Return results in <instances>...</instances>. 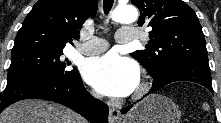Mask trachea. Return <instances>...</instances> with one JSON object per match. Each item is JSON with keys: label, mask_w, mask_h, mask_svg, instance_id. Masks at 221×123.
<instances>
[{"label": "trachea", "mask_w": 221, "mask_h": 123, "mask_svg": "<svg viewBox=\"0 0 221 123\" xmlns=\"http://www.w3.org/2000/svg\"><path fill=\"white\" fill-rule=\"evenodd\" d=\"M114 3V0H104L103 5H104V12L107 14Z\"/></svg>", "instance_id": "trachea-1"}]
</instances>
